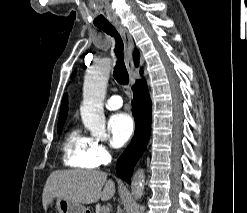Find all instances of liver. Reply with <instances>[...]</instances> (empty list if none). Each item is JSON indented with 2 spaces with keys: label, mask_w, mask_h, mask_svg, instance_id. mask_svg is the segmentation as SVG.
I'll return each instance as SVG.
<instances>
[{
  "label": "liver",
  "mask_w": 247,
  "mask_h": 213,
  "mask_svg": "<svg viewBox=\"0 0 247 213\" xmlns=\"http://www.w3.org/2000/svg\"><path fill=\"white\" fill-rule=\"evenodd\" d=\"M115 193L113 180L98 170H59L48 177L43 189L42 202L47 209L50 200L63 198L80 204H92L99 199L110 200Z\"/></svg>",
  "instance_id": "obj_1"
}]
</instances>
